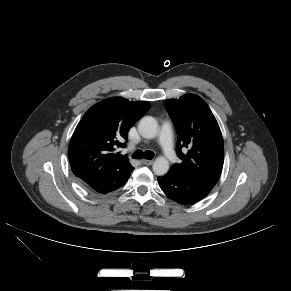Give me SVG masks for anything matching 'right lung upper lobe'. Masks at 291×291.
Masks as SVG:
<instances>
[{"label":"right lung upper lobe","mask_w":291,"mask_h":291,"mask_svg":"<svg viewBox=\"0 0 291 291\" xmlns=\"http://www.w3.org/2000/svg\"><path fill=\"white\" fill-rule=\"evenodd\" d=\"M148 102L114 98L93 105L83 116L70 140L68 157L72 172L80 181L116 168L123 174L133 167L126 156L115 153L126 147L129 129L149 109Z\"/></svg>","instance_id":"cb5924a9"}]
</instances>
